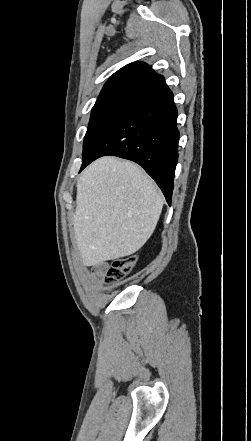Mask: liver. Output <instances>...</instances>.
Here are the masks:
<instances>
[{
	"label": "liver",
	"mask_w": 251,
	"mask_h": 441,
	"mask_svg": "<svg viewBox=\"0 0 251 441\" xmlns=\"http://www.w3.org/2000/svg\"><path fill=\"white\" fill-rule=\"evenodd\" d=\"M162 208L153 180L137 164L111 156L94 161L78 179L73 215L83 264L138 251L153 234Z\"/></svg>",
	"instance_id": "obj_1"
}]
</instances>
